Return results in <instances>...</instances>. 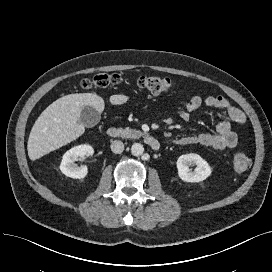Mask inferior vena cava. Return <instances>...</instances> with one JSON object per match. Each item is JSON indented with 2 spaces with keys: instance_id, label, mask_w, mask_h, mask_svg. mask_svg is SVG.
<instances>
[{
  "instance_id": "602c4592",
  "label": "inferior vena cava",
  "mask_w": 272,
  "mask_h": 272,
  "mask_svg": "<svg viewBox=\"0 0 272 272\" xmlns=\"http://www.w3.org/2000/svg\"><path fill=\"white\" fill-rule=\"evenodd\" d=\"M110 147H111L112 152L116 153V154H120L124 150V144L120 140L111 141Z\"/></svg>"
}]
</instances>
